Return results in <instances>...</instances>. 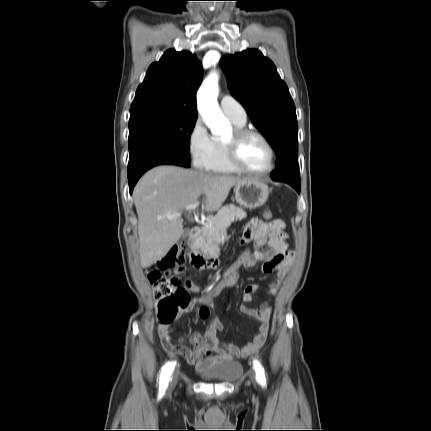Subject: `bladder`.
<instances>
[{"instance_id":"bladder-1","label":"bladder","mask_w":431,"mask_h":431,"mask_svg":"<svg viewBox=\"0 0 431 431\" xmlns=\"http://www.w3.org/2000/svg\"><path fill=\"white\" fill-rule=\"evenodd\" d=\"M241 365L237 362H226L199 372L202 379L211 382H230L239 377Z\"/></svg>"}]
</instances>
